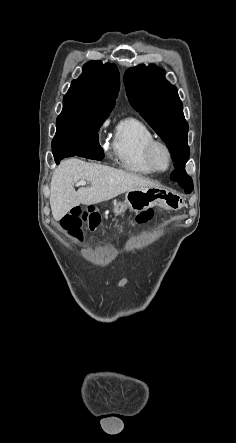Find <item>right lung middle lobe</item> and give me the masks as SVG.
I'll list each match as a JSON object with an SVG mask.
<instances>
[{
    "label": "right lung middle lobe",
    "mask_w": 236,
    "mask_h": 443,
    "mask_svg": "<svg viewBox=\"0 0 236 443\" xmlns=\"http://www.w3.org/2000/svg\"><path fill=\"white\" fill-rule=\"evenodd\" d=\"M108 113H80L62 110L57 118L53 151L67 147L99 145L98 130Z\"/></svg>",
    "instance_id": "dd1d6c3e"
}]
</instances>
